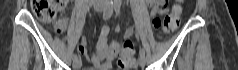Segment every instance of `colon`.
I'll return each mask as SVG.
<instances>
[{"mask_svg":"<svg viewBox=\"0 0 238 70\" xmlns=\"http://www.w3.org/2000/svg\"><path fill=\"white\" fill-rule=\"evenodd\" d=\"M180 3L183 0H178ZM65 0H33L32 9L36 16L44 21H51L55 18L57 13L64 9ZM179 12L180 9L178 6H175L173 11L167 15L162 21L154 19V27L161 26L165 33H170L174 31L179 24ZM133 38V33H124L122 37V48L121 51L123 54H118V67L122 70H128L134 66V54L133 43L131 42Z\"/></svg>","mask_w":238,"mask_h":70,"instance_id":"1","label":"colon"}]
</instances>
